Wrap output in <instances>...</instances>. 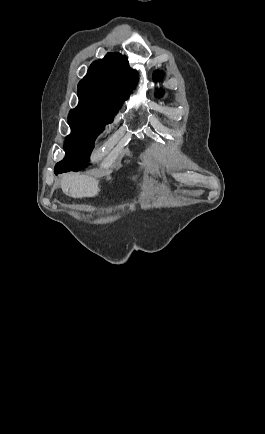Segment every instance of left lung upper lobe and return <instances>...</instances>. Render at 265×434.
<instances>
[{
  "mask_svg": "<svg viewBox=\"0 0 265 434\" xmlns=\"http://www.w3.org/2000/svg\"><path fill=\"white\" fill-rule=\"evenodd\" d=\"M162 76H163L162 72L157 71V72L154 73V79H155V80H161V79H162ZM163 93H164V92H163L162 90H160V91H158V92L156 93V95H158V96H162Z\"/></svg>",
  "mask_w": 265,
  "mask_h": 434,
  "instance_id": "1",
  "label": "left lung upper lobe"
}]
</instances>
